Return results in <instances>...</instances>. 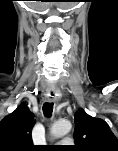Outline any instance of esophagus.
I'll return each instance as SVG.
<instances>
[{
	"label": "esophagus",
	"instance_id": "obj_1",
	"mask_svg": "<svg viewBox=\"0 0 118 151\" xmlns=\"http://www.w3.org/2000/svg\"><path fill=\"white\" fill-rule=\"evenodd\" d=\"M45 96L47 101H53L57 96V90L55 89V87L48 88Z\"/></svg>",
	"mask_w": 118,
	"mask_h": 151
}]
</instances>
